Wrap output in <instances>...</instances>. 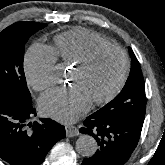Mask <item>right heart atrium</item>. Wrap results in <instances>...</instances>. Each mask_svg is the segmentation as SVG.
<instances>
[{
  "mask_svg": "<svg viewBox=\"0 0 165 165\" xmlns=\"http://www.w3.org/2000/svg\"><path fill=\"white\" fill-rule=\"evenodd\" d=\"M56 62L57 56L53 48L40 43L33 44L24 61L29 86L36 91H43L55 84Z\"/></svg>",
  "mask_w": 165,
  "mask_h": 165,
  "instance_id": "right-heart-atrium-1",
  "label": "right heart atrium"
}]
</instances>
